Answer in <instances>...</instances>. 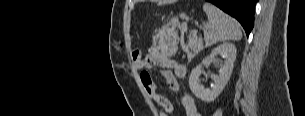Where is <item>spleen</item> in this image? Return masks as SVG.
Returning a JSON list of instances; mask_svg holds the SVG:
<instances>
[{
	"mask_svg": "<svg viewBox=\"0 0 305 116\" xmlns=\"http://www.w3.org/2000/svg\"><path fill=\"white\" fill-rule=\"evenodd\" d=\"M203 10L208 17V23L204 25V39L207 45L242 38L240 24L236 19L210 3H205Z\"/></svg>",
	"mask_w": 305,
	"mask_h": 116,
	"instance_id": "spleen-1",
	"label": "spleen"
}]
</instances>
